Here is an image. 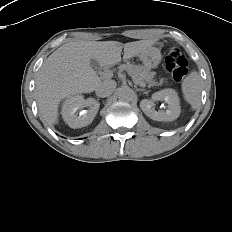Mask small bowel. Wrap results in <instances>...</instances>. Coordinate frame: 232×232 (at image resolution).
<instances>
[{
  "mask_svg": "<svg viewBox=\"0 0 232 232\" xmlns=\"http://www.w3.org/2000/svg\"><path fill=\"white\" fill-rule=\"evenodd\" d=\"M155 75H156V77H153V76H152V77H149V78H148V81H147V82H148V85H149V86H152V87H153V86H156V85H157V82H158L157 79H160V80H161V79H164L166 73H165V70H164V69H161V68H160V69H157V70H156Z\"/></svg>",
  "mask_w": 232,
  "mask_h": 232,
  "instance_id": "1",
  "label": "small bowel"
}]
</instances>
